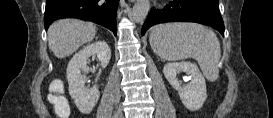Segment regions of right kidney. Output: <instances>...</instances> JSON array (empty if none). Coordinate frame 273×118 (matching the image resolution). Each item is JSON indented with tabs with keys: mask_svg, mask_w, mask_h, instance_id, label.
<instances>
[{
	"mask_svg": "<svg viewBox=\"0 0 273 118\" xmlns=\"http://www.w3.org/2000/svg\"><path fill=\"white\" fill-rule=\"evenodd\" d=\"M91 56H96L101 67L105 68L109 64L111 50L105 41L89 44L73 56L66 70L69 93L83 113H90L100 97L97 86L90 89L85 87L86 73L89 71L87 60Z\"/></svg>",
	"mask_w": 273,
	"mask_h": 118,
	"instance_id": "ca27d5eb",
	"label": "right kidney"
}]
</instances>
